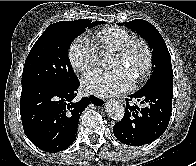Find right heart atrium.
I'll return each instance as SVG.
<instances>
[{
    "label": "right heart atrium",
    "mask_w": 196,
    "mask_h": 166,
    "mask_svg": "<svg viewBox=\"0 0 196 166\" xmlns=\"http://www.w3.org/2000/svg\"><path fill=\"white\" fill-rule=\"evenodd\" d=\"M68 57L76 71L85 72L97 65L99 52L93 42L86 37L79 36L72 41Z\"/></svg>",
    "instance_id": "obj_1"
}]
</instances>
